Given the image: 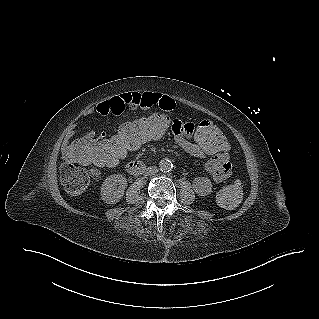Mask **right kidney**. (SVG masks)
<instances>
[{"instance_id": "obj_1", "label": "right kidney", "mask_w": 319, "mask_h": 319, "mask_svg": "<svg viewBox=\"0 0 319 319\" xmlns=\"http://www.w3.org/2000/svg\"><path fill=\"white\" fill-rule=\"evenodd\" d=\"M127 188V180L121 174L107 177L101 185V198L107 204H116L124 195Z\"/></svg>"}]
</instances>
